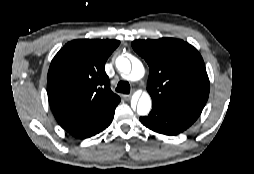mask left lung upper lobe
I'll use <instances>...</instances> for the list:
<instances>
[{"label": "left lung upper lobe", "mask_w": 254, "mask_h": 174, "mask_svg": "<svg viewBox=\"0 0 254 174\" xmlns=\"http://www.w3.org/2000/svg\"><path fill=\"white\" fill-rule=\"evenodd\" d=\"M133 49L146 60L153 103L200 116L209 96V78L199 52L180 39L136 40Z\"/></svg>", "instance_id": "obj_1"}]
</instances>
